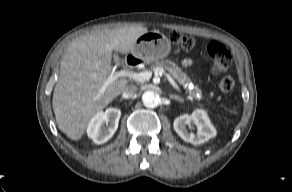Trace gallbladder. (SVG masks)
<instances>
[{"label": "gallbladder", "instance_id": "gallbladder-1", "mask_svg": "<svg viewBox=\"0 0 292 192\" xmlns=\"http://www.w3.org/2000/svg\"><path fill=\"white\" fill-rule=\"evenodd\" d=\"M114 61L119 63L120 62V58L118 55H114Z\"/></svg>", "mask_w": 292, "mask_h": 192}]
</instances>
